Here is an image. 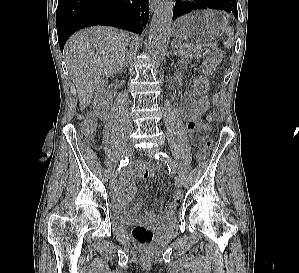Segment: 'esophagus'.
Segmentation results:
<instances>
[{"label": "esophagus", "mask_w": 299, "mask_h": 273, "mask_svg": "<svg viewBox=\"0 0 299 273\" xmlns=\"http://www.w3.org/2000/svg\"><path fill=\"white\" fill-rule=\"evenodd\" d=\"M158 0H149V7H150V10L153 11L156 4H157Z\"/></svg>", "instance_id": "1"}]
</instances>
